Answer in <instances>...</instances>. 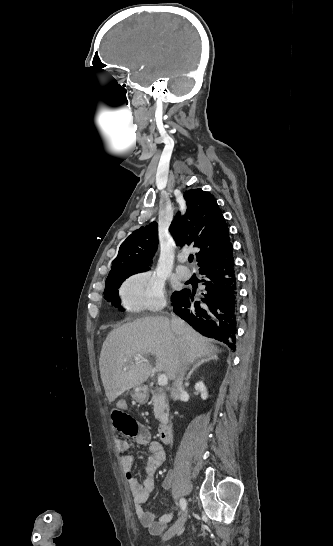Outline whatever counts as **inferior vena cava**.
Instances as JSON below:
<instances>
[{
  "label": "inferior vena cava",
  "mask_w": 333,
  "mask_h": 546,
  "mask_svg": "<svg viewBox=\"0 0 333 546\" xmlns=\"http://www.w3.org/2000/svg\"><path fill=\"white\" fill-rule=\"evenodd\" d=\"M183 326V321L178 318H173L171 320L172 330L176 335H181V330ZM186 370V365L179 371L177 378L173 382L171 397L176 400L183 393V378Z\"/></svg>",
  "instance_id": "inferior-vena-cava-1"
}]
</instances>
